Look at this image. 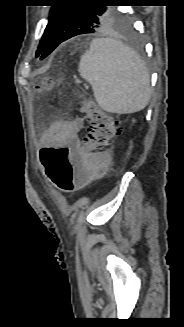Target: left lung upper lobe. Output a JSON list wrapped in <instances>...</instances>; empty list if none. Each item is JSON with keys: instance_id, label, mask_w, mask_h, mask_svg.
Listing matches in <instances>:
<instances>
[{"instance_id": "5c2ea615", "label": "left lung upper lobe", "mask_w": 184, "mask_h": 327, "mask_svg": "<svg viewBox=\"0 0 184 327\" xmlns=\"http://www.w3.org/2000/svg\"><path fill=\"white\" fill-rule=\"evenodd\" d=\"M61 17H63L64 26L78 34L94 33L96 30L111 24L127 25L126 15L116 12L108 6L87 4L52 6L48 24L36 51V57L43 52Z\"/></svg>"}]
</instances>
